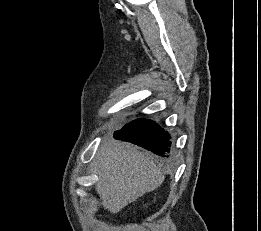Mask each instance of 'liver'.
<instances>
[{
	"label": "liver",
	"instance_id": "liver-1",
	"mask_svg": "<svg viewBox=\"0 0 261 231\" xmlns=\"http://www.w3.org/2000/svg\"><path fill=\"white\" fill-rule=\"evenodd\" d=\"M95 166L98 175L95 189L103 207L113 214L164 181L163 173L150 156L130 143L113 139L101 145Z\"/></svg>",
	"mask_w": 261,
	"mask_h": 231
}]
</instances>
